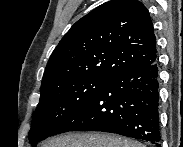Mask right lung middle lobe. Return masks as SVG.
I'll use <instances>...</instances> for the list:
<instances>
[{
  "instance_id": "dd1d6c3e",
  "label": "right lung middle lobe",
  "mask_w": 183,
  "mask_h": 147,
  "mask_svg": "<svg viewBox=\"0 0 183 147\" xmlns=\"http://www.w3.org/2000/svg\"><path fill=\"white\" fill-rule=\"evenodd\" d=\"M109 80L82 78L41 89L39 104L33 116L29 140L33 147L52 136L61 123L88 101Z\"/></svg>"
}]
</instances>
